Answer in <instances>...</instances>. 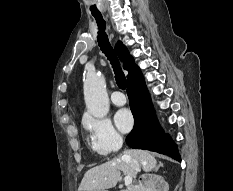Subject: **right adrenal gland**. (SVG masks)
I'll use <instances>...</instances> for the list:
<instances>
[{
    "label": "right adrenal gland",
    "mask_w": 233,
    "mask_h": 191,
    "mask_svg": "<svg viewBox=\"0 0 233 191\" xmlns=\"http://www.w3.org/2000/svg\"><path fill=\"white\" fill-rule=\"evenodd\" d=\"M160 167H163V164L161 162H159V165L157 167H155L154 171L157 172V170L160 168ZM144 177V176H143Z\"/></svg>",
    "instance_id": "obj_1"
}]
</instances>
